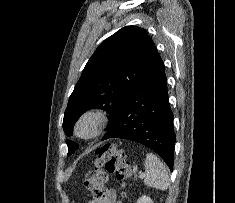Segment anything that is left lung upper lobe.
Instances as JSON below:
<instances>
[{
  "label": "left lung upper lobe",
  "mask_w": 235,
  "mask_h": 203,
  "mask_svg": "<svg viewBox=\"0 0 235 203\" xmlns=\"http://www.w3.org/2000/svg\"><path fill=\"white\" fill-rule=\"evenodd\" d=\"M156 55L155 44L147 31L137 26L123 27L102 42L69 98L63 120L65 134L72 135L78 118L93 108L110 114V126ZM66 142L70 155L78 145Z\"/></svg>",
  "instance_id": "5c2ea615"
}]
</instances>
